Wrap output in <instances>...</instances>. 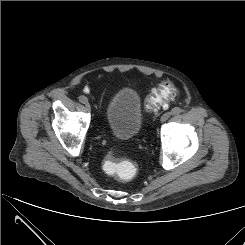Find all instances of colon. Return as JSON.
Returning a JSON list of instances; mask_svg holds the SVG:
<instances>
[{
  "label": "colon",
  "mask_w": 245,
  "mask_h": 245,
  "mask_svg": "<svg viewBox=\"0 0 245 245\" xmlns=\"http://www.w3.org/2000/svg\"><path fill=\"white\" fill-rule=\"evenodd\" d=\"M176 94V89L171 82L162 81L147 97L145 101L146 109L154 112L173 100ZM102 169L107 175L113 176L121 181H129L135 173V166L131 161L117 160L114 158L106 159L102 165Z\"/></svg>",
  "instance_id": "colon-1"
}]
</instances>
